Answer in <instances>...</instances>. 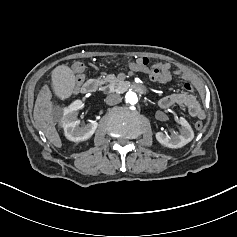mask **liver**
Masks as SVG:
<instances>
[{
    "label": "liver",
    "instance_id": "obj_1",
    "mask_svg": "<svg viewBox=\"0 0 237 237\" xmlns=\"http://www.w3.org/2000/svg\"><path fill=\"white\" fill-rule=\"evenodd\" d=\"M46 92H49V90H47ZM45 105L46 103L43 102L42 99L38 97L35 103V110H34L36 126L43 132L44 136L51 144H53L56 148L61 149L62 141L55 124L49 122L47 113L43 109H40Z\"/></svg>",
    "mask_w": 237,
    "mask_h": 237
}]
</instances>
